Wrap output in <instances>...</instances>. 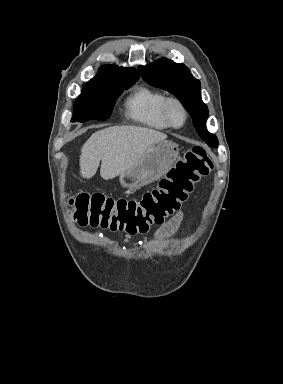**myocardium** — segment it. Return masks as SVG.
Returning a JSON list of instances; mask_svg holds the SVG:
<instances>
[{
    "mask_svg": "<svg viewBox=\"0 0 283 384\" xmlns=\"http://www.w3.org/2000/svg\"><path fill=\"white\" fill-rule=\"evenodd\" d=\"M178 106L182 113H183V122L181 125H175L173 124V122L171 121V118H170V109L172 106ZM160 115H161V118L162 120L164 121V123L169 127V128H172V129H180L182 128L183 126H185V124L187 123V120H188V110L186 108V106L184 105V103L176 98V97H167L162 106H161V110H160Z\"/></svg>",
    "mask_w": 283,
    "mask_h": 384,
    "instance_id": "f54148a6",
    "label": "myocardium"
}]
</instances>
